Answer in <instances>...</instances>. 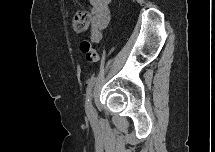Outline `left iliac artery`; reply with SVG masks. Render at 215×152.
<instances>
[{
  "label": "left iliac artery",
  "instance_id": "1",
  "mask_svg": "<svg viewBox=\"0 0 215 152\" xmlns=\"http://www.w3.org/2000/svg\"><path fill=\"white\" fill-rule=\"evenodd\" d=\"M95 81H96L95 77L91 78L88 81V85H87V89H86V103H85L86 110H87V107H88V101H89L90 93H91V90H92V87H93Z\"/></svg>",
  "mask_w": 215,
  "mask_h": 152
}]
</instances>
